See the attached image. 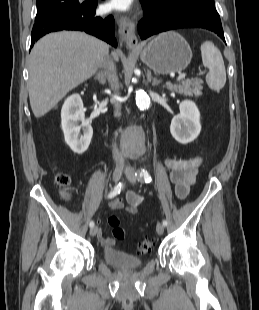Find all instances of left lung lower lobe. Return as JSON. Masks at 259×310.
<instances>
[{
    "label": "left lung lower lobe",
    "mask_w": 259,
    "mask_h": 310,
    "mask_svg": "<svg viewBox=\"0 0 259 310\" xmlns=\"http://www.w3.org/2000/svg\"><path fill=\"white\" fill-rule=\"evenodd\" d=\"M144 18L138 24L141 39L177 28H204L225 41L221 20L215 6L193 5L160 15L146 2H142Z\"/></svg>",
    "instance_id": "left-lung-lower-lobe-1"
}]
</instances>
